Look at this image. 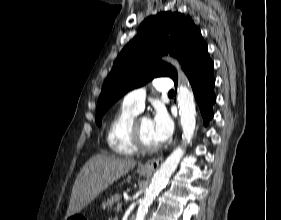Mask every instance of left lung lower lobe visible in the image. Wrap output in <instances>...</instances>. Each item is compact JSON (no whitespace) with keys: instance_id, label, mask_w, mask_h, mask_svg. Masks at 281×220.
Listing matches in <instances>:
<instances>
[{"instance_id":"0a47b994","label":"left lung lower lobe","mask_w":281,"mask_h":220,"mask_svg":"<svg viewBox=\"0 0 281 220\" xmlns=\"http://www.w3.org/2000/svg\"><path fill=\"white\" fill-rule=\"evenodd\" d=\"M214 63L206 51L194 58L187 66L185 73L189 78L196 101L201 111L204 125L213 117V104L216 101L214 94L215 79L213 76ZM177 85V80L174 81Z\"/></svg>"}]
</instances>
